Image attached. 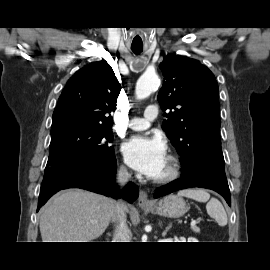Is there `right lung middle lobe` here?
Segmentation results:
<instances>
[{"instance_id":"dd1d6c3e","label":"right lung middle lobe","mask_w":270,"mask_h":270,"mask_svg":"<svg viewBox=\"0 0 270 270\" xmlns=\"http://www.w3.org/2000/svg\"><path fill=\"white\" fill-rule=\"evenodd\" d=\"M111 128L84 124H63L51 127L48 162L67 155L90 153L104 164L114 161Z\"/></svg>"}]
</instances>
